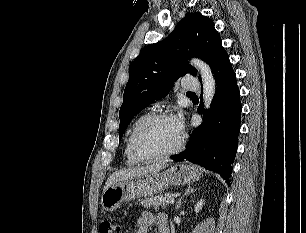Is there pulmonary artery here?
Masks as SVG:
<instances>
[{"label": "pulmonary artery", "instance_id": "obj_1", "mask_svg": "<svg viewBox=\"0 0 306 233\" xmlns=\"http://www.w3.org/2000/svg\"><path fill=\"white\" fill-rule=\"evenodd\" d=\"M181 84L183 90L185 91L193 92V91H198L200 89V84L195 78H190V77L184 78Z\"/></svg>", "mask_w": 306, "mask_h": 233}]
</instances>
